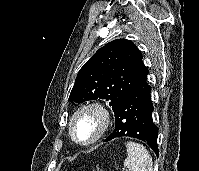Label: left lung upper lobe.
<instances>
[{"mask_svg":"<svg viewBox=\"0 0 199 171\" xmlns=\"http://www.w3.org/2000/svg\"><path fill=\"white\" fill-rule=\"evenodd\" d=\"M142 54L127 39L100 48L80 69L69 96L76 103L105 99L113 111L148 74Z\"/></svg>","mask_w":199,"mask_h":171,"instance_id":"1","label":"left lung upper lobe"}]
</instances>
